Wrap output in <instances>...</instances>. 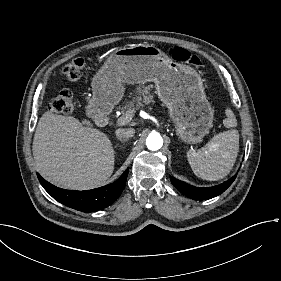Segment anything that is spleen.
Returning a JSON list of instances; mask_svg holds the SVG:
<instances>
[{
	"mask_svg": "<svg viewBox=\"0 0 281 281\" xmlns=\"http://www.w3.org/2000/svg\"><path fill=\"white\" fill-rule=\"evenodd\" d=\"M226 118L223 126L238 127V122L230 107L225 109ZM240 134L238 130H228L217 134L199 151L190 150L188 161L194 173L206 181H219L229 175L233 169L239 153Z\"/></svg>",
	"mask_w": 281,
	"mask_h": 281,
	"instance_id": "obj_1",
	"label": "spleen"
}]
</instances>
